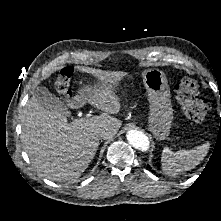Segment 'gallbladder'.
Here are the masks:
<instances>
[{"instance_id":"gallbladder-1","label":"gallbladder","mask_w":221,"mask_h":221,"mask_svg":"<svg viewBox=\"0 0 221 221\" xmlns=\"http://www.w3.org/2000/svg\"><path fill=\"white\" fill-rule=\"evenodd\" d=\"M33 96L44 107L64 115L69 114V111L66 105L62 102V100L54 94L50 93L46 87H36L33 90Z\"/></svg>"}]
</instances>
